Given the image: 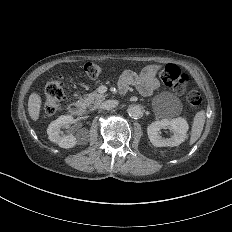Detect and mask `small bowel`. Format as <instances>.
I'll use <instances>...</instances> for the list:
<instances>
[{"instance_id":"obj_1","label":"small bowel","mask_w":232,"mask_h":232,"mask_svg":"<svg viewBox=\"0 0 232 232\" xmlns=\"http://www.w3.org/2000/svg\"><path fill=\"white\" fill-rule=\"evenodd\" d=\"M157 71L158 66L150 65L140 74L126 70L123 76L127 81L133 83L144 97H150L161 88L160 81L156 77Z\"/></svg>"}]
</instances>
